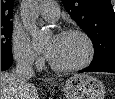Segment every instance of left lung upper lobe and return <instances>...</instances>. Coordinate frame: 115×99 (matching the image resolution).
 <instances>
[{
	"mask_svg": "<svg viewBox=\"0 0 115 99\" xmlns=\"http://www.w3.org/2000/svg\"><path fill=\"white\" fill-rule=\"evenodd\" d=\"M94 45L91 65L115 61V13L110 0H62Z\"/></svg>",
	"mask_w": 115,
	"mask_h": 99,
	"instance_id": "1",
	"label": "left lung upper lobe"
}]
</instances>
